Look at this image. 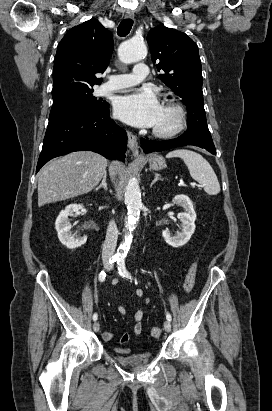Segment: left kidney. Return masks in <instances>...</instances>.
<instances>
[{
	"label": "left kidney",
	"mask_w": 272,
	"mask_h": 411,
	"mask_svg": "<svg viewBox=\"0 0 272 411\" xmlns=\"http://www.w3.org/2000/svg\"><path fill=\"white\" fill-rule=\"evenodd\" d=\"M173 202L184 209V212L178 214V218L182 222V232L172 235L168 230H163L162 236L166 243L177 248L185 245L194 233L196 213L192 201L186 195L175 196Z\"/></svg>",
	"instance_id": "1"
}]
</instances>
